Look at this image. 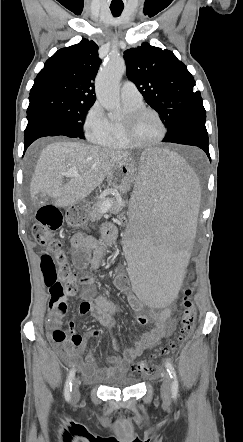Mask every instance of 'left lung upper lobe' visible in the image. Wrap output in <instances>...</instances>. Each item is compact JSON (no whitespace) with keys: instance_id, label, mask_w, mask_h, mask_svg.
Instances as JSON below:
<instances>
[{"instance_id":"left-lung-upper-lobe-1","label":"left lung upper lobe","mask_w":243,"mask_h":442,"mask_svg":"<svg viewBox=\"0 0 243 442\" xmlns=\"http://www.w3.org/2000/svg\"><path fill=\"white\" fill-rule=\"evenodd\" d=\"M127 75L146 102L160 114L171 136L189 118L206 114L195 81L173 52L143 43L124 52ZM164 138V139H165Z\"/></svg>"}]
</instances>
